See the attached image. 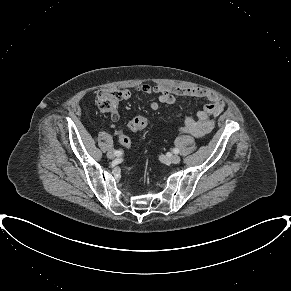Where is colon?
Here are the masks:
<instances>
[{
    "mask_svg": "<svg viewBox=\"0 0 291 291\" xmlns=\"http://www.w3.org/2000/svg\"><path fill=\"white\" fill-rule=\"evenodd\" d=\"M122 95L123 90L119 89L101 90L96 96V102L102 111L107 112L117 106L118 102L122 98ZM148 125V118L144 116H137L128 123V129L129 131L135 132L146 128ZM120 143L126 149L131 146V141L127 135H121Z\"/></svg>",
    "mask_w": 291,
    "mask_h": 291,
    "instance_id": "1",
    "label": "colon"
}]
</instances>
